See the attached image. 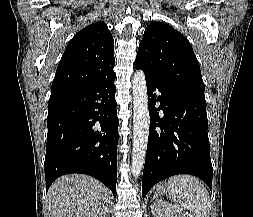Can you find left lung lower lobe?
I'll return each instance as SVG.
<instances>
[{
	"mask_svg": "<svg viewBox=\"0 0 253 217\" xmlns=\"http://www.w3.org/2000/svg\"><path fill=\"white\" fill-rule=\"evenodd\" d=\"M137 69L142 67L135 62ZM143 70V69H142ZM150 129L142 178V197L161 180L177 174L202 179L212 191L206 101L172 89L145 73ZM161 95L157 96L155 91ZM160 102L159 108L155 105ZM158 110H163V116Z\"/></svg>",
	"mask_w": 253,
	"mask_h": 217,
	"instance_id": "left-lung-lower-lobe-1",
	"label": "left lung lower lobe"
}]
</instances>
